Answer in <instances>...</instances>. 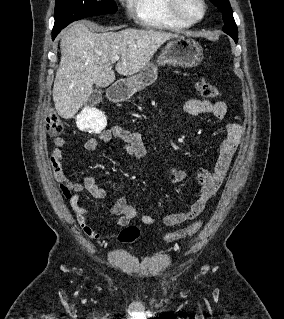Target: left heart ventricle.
Returning <instances> with one entry per match:
<instances>
[{
	"label": "left heart ventricle",
	"mask_w": 284,
	"mask_h": 319,
	"mask_svg": "<svg viewBox=\"0 0 284 319\" xmlns=\"http://www.w3.org/2000/svg\"><path fill=\"white\" fill-rule=\"evenodd\" d=\"M180 8L189 19H198L203 11L199 0H180Z\"/></svg>",
	"instance_id": "b2bd125f"
}]
</instances>
